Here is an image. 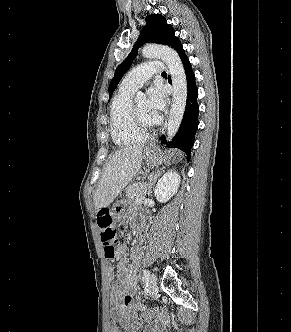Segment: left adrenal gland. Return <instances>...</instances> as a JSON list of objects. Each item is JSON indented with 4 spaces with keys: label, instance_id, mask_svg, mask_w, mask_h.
<instances>
[{
    "label": "left adrenal gland",
    "instance_id": "obj_1",
    "mask_svg": "<svg viewBox=\"0 0 291 332\" xmlns=\"http://www.w3.org/2000/svg\"><path fill=\"white\" fill-rule=\"evenodd\" d=\"M162 172H164V170L158 171L157 173H155L149 177L148 196H151L153 185L155 184L157 178L162 174Z\"/></svg>",
    "mask_w": 291,
    "mask_h": 332
}]
</instances>
